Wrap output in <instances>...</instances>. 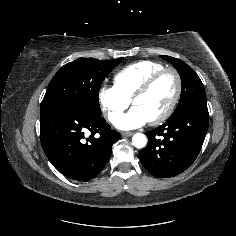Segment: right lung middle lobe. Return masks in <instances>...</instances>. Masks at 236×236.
Wrapping results in <instances>:
<instances>
[{
	"label": "right lung middle lobe",
	"mask_w": 236,
	"mask_h": 236,
	"mask_svg": "<svg viewBox=\"0 0 236 236\" xmlns=\"http://www.w3.org/2000/svg\"><path fill=\"white\" fill-rule=\"evenodd\" d=\"M120 62L121 58L114 61L81 58L65 64L50 81L40 113L56 106L71 105L101 115L98 101L100 86Z\"/></svg>",
	"instance_id": "right-lung-middle-lobe-1"
}]
</instances>
